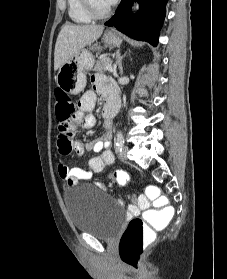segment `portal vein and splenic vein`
I'll list each match as a JSON object with an SVG mask.
<instances>
[{"label":"portal vein and splenic vein","instance_id":"portal-vein-and-splenic-vein-1","mask_svg":"<svg viewBox=\"0 0 227 279\" xmlns=\"http://www.w3.org/2000/svg\"><path fill=\"white\" fill-rule=\"evenodd\" d=\"M106 69L109 71V72H113L114 69L111 65H106Z\"/></svg>","mask_w":227,"mask_h":279}]
</instances>
